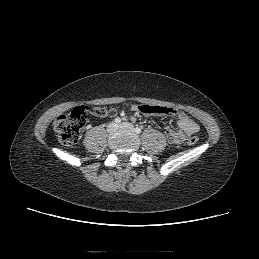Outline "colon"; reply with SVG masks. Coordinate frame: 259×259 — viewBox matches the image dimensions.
<instances>
[{"instance_id":"obj_1","label":"colon","mask_w":259,"mask_h":259,"mask_svg":"<svg viewBox=\"0 0 259 259\" xmlns=\"http://www.w3.org/2000/svg\"><path fill=\"white\" fill-rule=\"evenodd\" d=\"M90 114L99 119H103L114 116L116 110L103 106L93 108L81 106L74 108L67 114L60 115L53 124L58 141L65 146L76 144L80 139L81 130L86 125ZM197 142L198 137L196 136L190 137L188 140V144L191 146L195 145Z\"/></svg>"}]
</instances>
